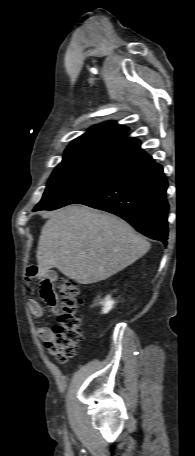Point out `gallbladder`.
<instances>
[{
	"mask_svg": "<svg viewBox=\"0 0 195 456\" xmlns=\"http://www.w3.org/2000/svg\"><path fill=\"white\" fill-rule=\"evenodd\" d=\"M46 277L51 281H55L57 279V275L54 271H50L47 273Z\"/></svg>",
	"mask_w": 195,
	"mask_h": 456,
	"instance_id": "gallbladder-1",
	"label": "gallbladder"
}]
</instances>
